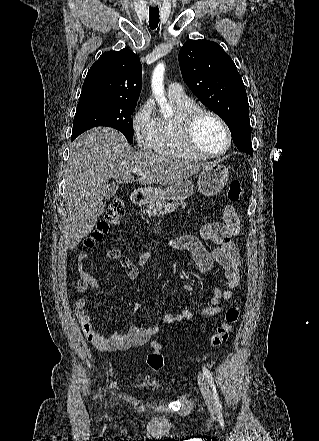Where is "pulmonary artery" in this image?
Instances as JSON below:
<instances>
[{
    "label": "pulmonary artery",
    "mask_w": 319,
    "mask_h": 441,
    "mask_svg": "<svg viewBox=\"0 0 319 441\" xmlns=\"http://www.w3.org/2000/svg\"><path fill=\"white\" fill-rule=\"evenodd\" d=\"M168 97L171 100L186 101L188 97L179 83H171L167 89Z\"/></svg>",
    "instance_id": "1"
}]
</instances>
